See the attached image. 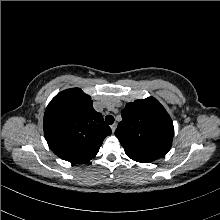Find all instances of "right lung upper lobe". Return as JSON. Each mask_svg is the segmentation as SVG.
Here are the masks:
<instances>
[{
	"instance_id": "1",
	"label": "right lung upper lobe",
	"mask_w": 220,
	"mask_h": 220,
	"mask_svg": "<svg viewBox=\"0 0 220 220\" xmlns=\"http://www.w3.org/2000/svg\"><path fill=\"white\" fill-rule=\"evenodd\" d=\"M111 134L93 101L79 88L57 94L44 114V135L51 150L61 159L81 164L96 156Z\"/></svg>"
}]
</instances>
